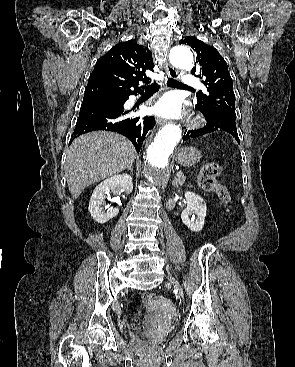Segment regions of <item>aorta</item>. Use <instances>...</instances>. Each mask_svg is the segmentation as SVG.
<instances>
[{
  "label": "aorta",
  "instance_id": "762f6f07",
  "mask_svg": "<svg viewBox=\"0 0 295 367\" xmlns=\"http://www.w3.org/2000/svg\"><path fill=\"white\" fill-rule=\"evenodd\" d=\"M171 63L179 68L190 70L193 67V55L186 47H175L170 52ZM182 132L175 124H166L156 134L147 149L148 175L154 179L165 170L168 158L180 142Z\"/></svg>",
  "mask_w": 295,
  "mask_h": 367
}]
</instances>
